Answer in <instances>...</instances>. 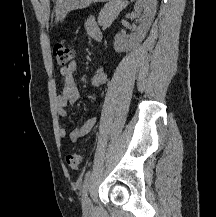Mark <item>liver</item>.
<instances>
[{
	"mask_svg": "<svg viewBox=\"0 0 216 217\" xmlns=\"http://www.w3.org/2000/svg\"><path fill=\"white\" fill-rule=\"evenodd\" d=\"M42 2L46 5L47 10L49 12V0H42Z\"/></svg>",
	"mask_w": 216,
	"mask_h": 217,
	"instance_id": "6515ba94",
	"label": "liver"
}]
</instances>
